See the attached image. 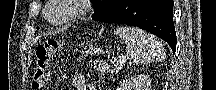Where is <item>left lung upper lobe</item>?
Listing matches in <instances>:
<instances>
[{"label": "left lung upper lobe", "mask_w": 216, "mask_h": 90, "mask_svg": "<svg viewBox=\"0 0 216 90\" xmlns=\"http://www.w3.org/2000/svg\"><path fill=\"white\" fill-rule=\"evenodd\" d=\"M95 7V12L92 18L96 17L100 13L115 7L122 0H91Z\"/></svg>", "instance_id": "1"}]
</instances>
